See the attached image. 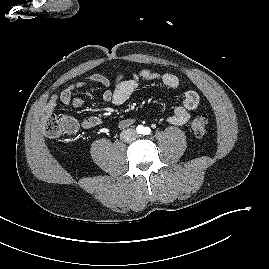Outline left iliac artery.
I'll return each mask as SVG.
<instances>
[{"label":"left iliac artery","instance_id":"44dca946","mask_svg":"<svg viewBox=\"0 0 269 269\" xmlns=\"http://www.w3.org/2000/svg\"><path fill=\"white\" fill-rule=\"evenodd\" d=\"M143 132H144L145 135H148V134H150L151 129L149 127H145Z\"/></svg>","mask_w":269,"mask_h":269}]
</instances>
